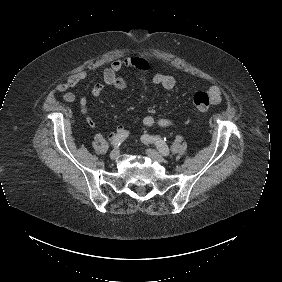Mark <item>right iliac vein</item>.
Masks as SVG:
<instances>
[{
    "mask_svg": "<svg viewBox=\"0 0 282 282\" xmlns=\"http://www.w3.org/2000/svg\"><path fill=\"white\" fill-rule=\"evenodd\" d=\"M119 155H120V151H119L118 148H116V149L112 150V152L110 153V158L112 160H116V159L119 158Z\"/></svg>",
    "mask_w": 282,
    "mask_h": 282,
    "instance_id": "right-iliac-vein-1",
    "label": "right iliac vein"
}]
</instances>
